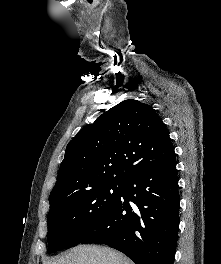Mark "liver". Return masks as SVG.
Returning a JSON list of instances; mask_svg holds the SVG:
<instances>
[{"label": "liver", "mask_w": 221, "mask_h": 264, "mask_svg": "<svg viewBox=\"0 0 221 264\" xmlns=\"http://www.w3.org/2000/svg\"><path fill=\"white\" fill-rule=\"evenodd\" d=\"M43 264H134L122 253L108 247L80 245L65 255Z\"/></svg>", "instance_id": "1"}]
</instances>
